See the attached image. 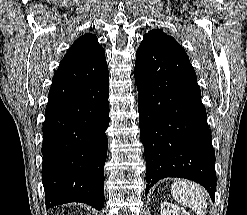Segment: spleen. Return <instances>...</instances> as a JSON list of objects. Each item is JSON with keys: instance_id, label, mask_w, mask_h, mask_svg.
<instances>
[{"instance_id": "1", "label": "spleen", "mask_w": 247, "mask_h": 215, "mask_svg": "<svg viewBox=\"0 0 247 215\" xmlns=\"http://www.w3.org/2000/svg\"><path fill=\"white\" fill-rule=\"evenodd\" d=\"M171 193L181 205L188 206L197 215H205L207 210V192L197 183L189 180H177L171 186Z\"/></svg>"}]
</instances>
